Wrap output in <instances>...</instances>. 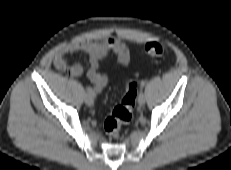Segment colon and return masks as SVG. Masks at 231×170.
<instances>
[{
  "instance_id": "colon-1",
  "label": "colon",
  "mask_w": 231,
  "mask_h": 170,
  "mask_svg": "<svg viewBox=\"0 0 231 170\" xmlns=\"http://www.w3.org/2000/svg\"><path fill=\"white\" fill-rule=\"evenodd\" d=\"M145 53L151 57H162L166 54L167 48L157 41L147 42L144 46ZM137 98V83L129 79L126 84V93L121 103L116 106L104 121L105 132L117 138L123 124H127L132 119L133 109Z\"/></svg>"
}]
</instances>
